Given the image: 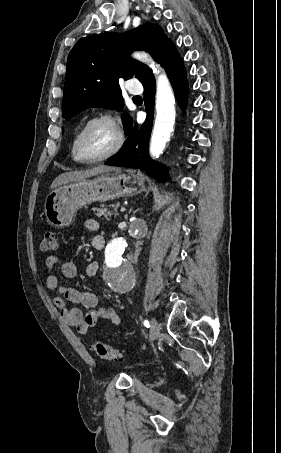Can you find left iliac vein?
I'll return each mask as SVG.
<instances>
[{"instance_id": "left-iliac-vein-1", "label": "left iliac vein", "mask_w": 281, "mask_h": 453, "mask_svg": "<svg viewBox=\"0 0 281 453\" xmlns=\"http://www.w3.org/2000/svg\"><path fill=\"white\" fill-rule=\"evenodd\" d=\"M149 325H150V332H149L150 339L149 340L152 342L158 335L159 326L154 319L150 322Z\"/></svg>"}]
</instances>
